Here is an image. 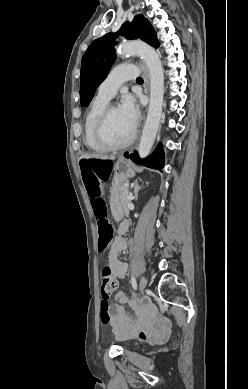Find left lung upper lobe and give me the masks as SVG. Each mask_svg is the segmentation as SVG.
<instances>
[{"instance_id":"5c2ea615","label":"left lung upper lobe","mask_w":248,"mask_h":389,"mask_svg":"<svg viewBox=\"0 0 248 389\" xmlns=\"http://www.w3.org/2000/svg\"><path fill=\"white\" fill-rule=\"evenodd\" d=\"M128 39L141 38L149 45L158 48L159 42L156 32L143 15L134 17L131 23H124L113 35L112 32L94 40L86 50L81 61L80 73V103L88 106L97 87L107 77L116 57L114 45L119 35H126Z\"/></svg>"}]
</instances>
